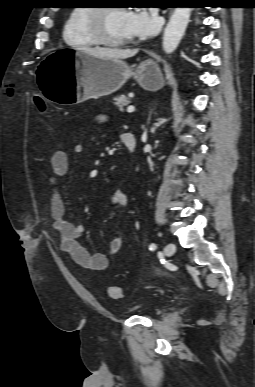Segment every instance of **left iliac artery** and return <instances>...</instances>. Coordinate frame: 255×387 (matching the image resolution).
<instances>
[{"mask_svg": "<svg viewBox=\"0 0 255 387\" xmlns=\"http://www.w3.org/2000/svg\"><path fill=\"white\" fill-rule=\"evenodd\" d=\"M156 245L155 244H151L150 246H149V249L151 250V251H153V250H155L156 249Z\"/></svg>", "mask_w": 255, "mask_h": 387, "instance_id": "obj_1", "label": "left iliac artery"}]
</instances>
